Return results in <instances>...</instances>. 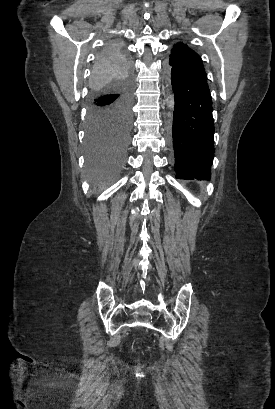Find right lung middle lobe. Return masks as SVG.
Segmentation results:
<instances>
[{
    "instance_id": "dd1d6c3e",
    "label": "right lung middle lobe",
    "mask_w": 275,
    "mask_h": 409,
    "mask_svg": "<svg viewBox=\"0 0 275 409\" xmlns=\"http://www.w3.org/2000/svg\"><path fill=\"white\" fill-rule=\"evenodd\" d=\"M129 56L116 40L105 41L96 54L87 104L86 181H122L116 172L129 147L132 119Z\"/></svg>"
}]
</instances>
